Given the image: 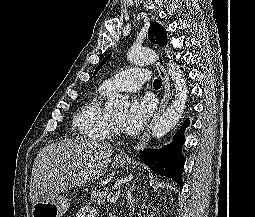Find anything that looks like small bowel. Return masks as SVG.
Wrapping results in <instances>:
<instances>
[{
    "instance_id": "c3829d8e",
    "label": "small bowel",
    "mask_w": 255,
    "mask_h": 217,
    "mask_svg": "<svg viewBox=\"0 0 255 217\" xmlns=\"http://www.w3.org/2000/svg\"><path fill=\"white\" fill-rule=\"evenodd\" d=\"M97 210L93 206H85L81 208L77 214V217H96Z\"/></svg>"
}]
</instances>
